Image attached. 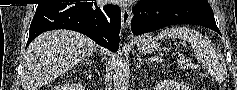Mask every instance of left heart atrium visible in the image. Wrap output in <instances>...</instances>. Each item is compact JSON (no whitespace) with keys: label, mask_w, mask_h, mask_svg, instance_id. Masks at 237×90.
<instances>
[{"label":"left heart atrium","mask_w":237,"mask_h":90,"mask_svg":"<svg viewBox=\"0 0 237 90\" xmlns=\"http://www.w3.org/2000/svg\"><path fill=\"white\" fill-rule=\"evenodd\" d=\"M118 3H124L125 7H130L131 3H140L141 0H117Z\"/></svg>","instance_id":"left-heart-atrium-1"}]
</instances>
